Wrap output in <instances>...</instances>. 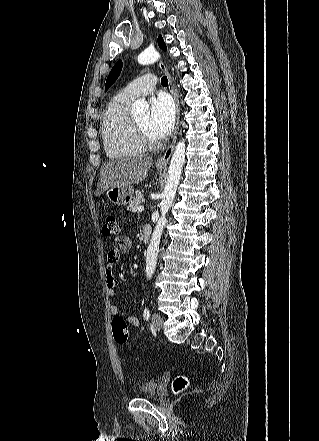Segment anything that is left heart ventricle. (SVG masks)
<instances>
[{"mask_svg": "<svg viewBox=\"0 0 319 441\" xmlns=\"http://www.w3.org/2000/svg\"><path fill=\"white\" fill-rule=\"evenodd\" d=\"M136 122L150 138L155 139L151 135L150 130H149V116L148 115H145V116L137 119Z\"/></svg>", "mask_w": 319, "mask_h": 441, "instance_id": "obj_1", "label": "left heart ventricle"}]
</instances>
